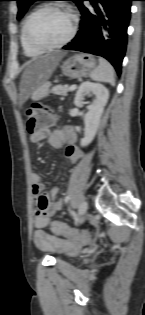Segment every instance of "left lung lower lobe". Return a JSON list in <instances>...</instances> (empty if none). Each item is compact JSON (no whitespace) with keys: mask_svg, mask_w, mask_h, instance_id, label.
<instances>
[{"mask_svg":"<svg viewBox=\"0 0 145 315\" xmlns=\"http://www.w3.org/2000/svg\"><path fill=\"white\" fill-rule=\"evenodd\" d=\"M83 1L77 3L82 14L80 30L63 49L102 56L120 75L133 0H89L93 6L90 11L84 7Z\"/></svg>","mask_w":145,"mask_h":315,"instance_id":"0a47b994","label":"left lung lower lobe"}]
</instances>
